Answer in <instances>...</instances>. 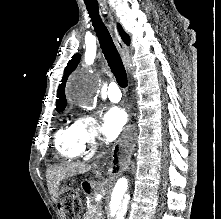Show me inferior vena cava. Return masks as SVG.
<instances>
[{
	"label": "inferior vena cava",
	"instance_id": "inferior-vena-cava-1",
	"mask_svg": "<svg viewBox=\"0 0 221 219\" xmlns=\"http://www.w3.org/2000/svg\"><path fill=\"white\" fill-rule=\"evenodd\" d=\"M105 153H106V150L103 149V152H102L101 154L98 155V158H101Z\"/></svg>",
	"mask_w": 221,
	"mask_h": 219
}]
</instances>
